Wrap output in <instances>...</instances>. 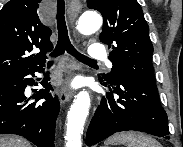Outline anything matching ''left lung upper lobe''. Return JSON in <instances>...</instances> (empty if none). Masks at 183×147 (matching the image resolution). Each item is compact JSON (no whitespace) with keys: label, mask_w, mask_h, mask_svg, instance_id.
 Returning a JSON list of instances; mask_svg holds the SVG:
<instances>
[{"label":"left lung upper lobe","mask_w":183,"mask_h":147,"mask_svg":"<svg viewBox=\"0 0 183 147\" xmlns=\"http://www.w3.org/2000/svg\"><path fill=\"white\" fill-rule=\"evenodd\" d=\"M87 5L102 14L100 40L111 48L108 58L113 67L99 79L113 84L128 75L156 83L149 27L137 0H87Z\"/></svg>","instance_id":"5c2ea615"}]
</instances>
